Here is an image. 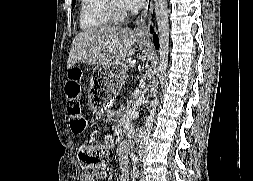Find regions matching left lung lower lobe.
<instances>
[{"mask_svg":"<svg viewBox=\"0 0 253 181\" xmlns=\"http://www.w3.org/2000/svg\"><path fill=\"white\" fill-rule=\"evenodd\" d=\"M153 42H154V45L156 46V48L158 49L159 48V41H158L157 36H154Z\"/></svg>","mask_w":253,"mask_h":181,"instance_id":"1","label":"left lung lower lobe"}]
</instances>
